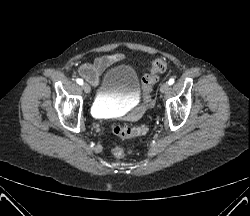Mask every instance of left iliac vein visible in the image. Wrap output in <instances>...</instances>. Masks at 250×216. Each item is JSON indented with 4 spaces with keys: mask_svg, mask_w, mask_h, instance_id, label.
<instances>
[{
    "mask_svg": "<svg viewBox=\"0 0 250 216\" xmlns=\"http://www.w3.org/2000/svg\"><path fill=\"white\" fill-rule=\"evenodd\" d=\"M168 89H169V84H168V83H164V84H162L161 87H160V91H161L162 93H165L166 91H168Z\"/></svg>",
    "mask_w": 250,
    "mask_h": 216,
    "instance_id": "left-iliac-vein-1",
    "label": "left iliac vein"
}]
</instances>
